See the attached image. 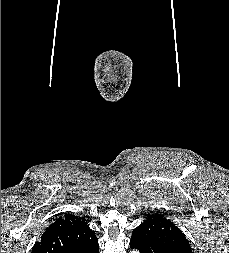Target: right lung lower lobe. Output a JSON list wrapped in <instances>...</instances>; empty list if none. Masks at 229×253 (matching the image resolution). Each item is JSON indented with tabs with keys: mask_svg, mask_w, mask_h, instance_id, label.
Masks as SVG:
<instances>
[{
	"mask_svg": "<svg viewBox=\"0 0 229 253\" xmlns=\"http://www.w3.org/2000/svg\"><path fill=\"white\" fill-rule=\"evenodd\" d=\"M77 253H99L98 242H96L86 248L81 249Z\"/></svg>",
	"mask_w": 229,
	"mask_h": 253,
	"instance_id": "right-lung-lower-lobe-1",
	"label": "right lung lower lobe"
}]
</instances>
